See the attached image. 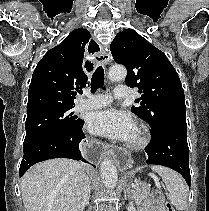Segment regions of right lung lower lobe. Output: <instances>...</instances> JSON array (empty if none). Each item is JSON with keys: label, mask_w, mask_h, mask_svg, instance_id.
<instances>
[{"label": "right lung lower lobe", "mask_w": 209, "mask_h": 211, "mask_svg": "<svg viewBox=\"0 0 209 211\" xmlns=\"http://www.w3.org/2000/svg\"><path fill=\"white\" fill-rule=\"evenodd\" d=\"M83 124L71 131L53 135L25 151L19 169L20 177L35 163L52 158H70L86 162L79 150V143L85 137Z\"/></svg>", "instance_id": "obj_1"}]
</instances>
